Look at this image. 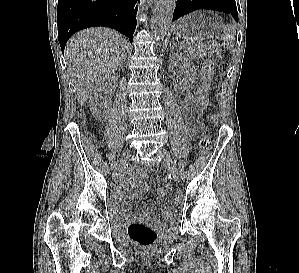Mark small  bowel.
Instances as JSON below:
<instances>
[{"label":"small bowel","instance_id":"c3829d8e","mask_svg":"<svg viewBox=\"0 0 299 273\" xmlns=\"http://www.w3.org/2000/svg\"><path fill=\"white\" fill-rule=\"evenodd\" d=\"M182 113L186 121L190 135L196 138L199 130L202 128L200 115L195 113V100L192 96L186 97L182 102ZM148 172L145 170H137L131 173L123 182L121 187L116 192L117 202L120 211L127 213L126 203L134 198L135 194L132 192L131 188L133 186L139 187L142 192H147L149 186L142 182L143 179L147 178ZM171 188L168 185L160 188L158 195L160 198H165L170 192ZM162 215L166 220H171L175 216V210L171 206H166L162 209ZM138 219L154 222L155 218L152 215L149 208L144 207L137 215Z\"/></svg>","mask_w":299,"mask_h":273}]
</instances>
